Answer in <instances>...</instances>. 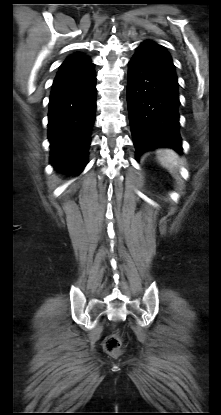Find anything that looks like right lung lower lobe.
Listing matches in <instances>:
<instances>
[{"instance_id":"1","label":"right lung lower lobe","mask_w":221,"mask_h":415,"mask_svg":"<svg viewBox=\"0 0 221 415\" xmlns=\"http://www.w3.org/2000/svg\"><path fill=\"white\" fill-rule=\"evenodd\" d=\"M96 97L93 64L58 71L48 113L50 163L57 169L79 174L87 165Z\"/></svg>"}]
</instances>
